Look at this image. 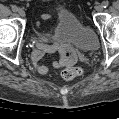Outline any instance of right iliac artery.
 Returning <instances> with one entry per match:
<instances>
[{
  "label": "right iliac artery",
  "instance_id": "1",
  "mask_svg": "<svg viewBox=\"0 0 119 119\" xmlns=\"http://www.w3.org/2000/svg\"><path fill=\"white\" fill-rule=\"evenodd\" d=\"M12 10H13L14 12L18 11V7L15 6V5H13V6H12Z\"/></svg>",
  "mask_w": 119,
  "mask_h": 119
}]
</instances>
